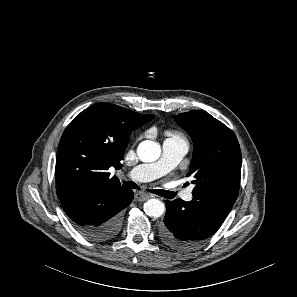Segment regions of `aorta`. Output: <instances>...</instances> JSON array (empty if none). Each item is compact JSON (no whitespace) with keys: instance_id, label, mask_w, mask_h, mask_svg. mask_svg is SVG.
Returning <instances> with one entry per match:
<instances>
[{"instance_id":"1","label":"aorta","mask_w":297,"mask_h":297,"mask_svg":"<svg viewBox=\"0 0 297 297\" xmlns=\"http://www.w3.org/2000/svg\"><path fill=\"white\" fill-rule=\"evenodd\" d=\"M161 154L160 145L151 140L142 141L137 148V155L143 162H154ZM144 212L149 217L158 218L163 215L165 205L159 199H149L144 203Z\"/></svg>"}]
</instances>
